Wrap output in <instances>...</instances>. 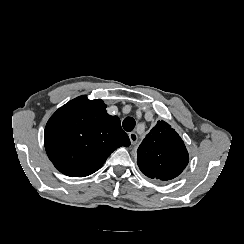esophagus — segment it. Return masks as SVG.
Segmentation results:
<instances>
[{
  "mask_svg": "<svg viewBox=\"0 0 244 244\" xmlns=\"http://www.w3.org/2000/svg\"><path fill=\"white\" fill-rule=\"evenodd\" d=\"M129 138H130V141H131L132 145L137 143L138 137H137V134L135 132H130L129 133Z\"/></svg>",
  "mask_w": 244,
  "mask_h": 244,
  "instance_id": "34e87169",
  "label": "esophagus"
}]
</instances>
